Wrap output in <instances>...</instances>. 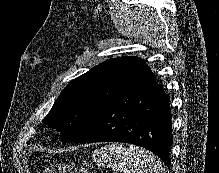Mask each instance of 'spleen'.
I'll return each instance as SVG.
<instances>
[{
    "instance_id": "1",
    "label": "spleen",
    "mask_w": 219,
    "mask_h": 173,
    "mask_svg": "<svg viewBox=\"0 0 219 173\" xmlns=\"http://www.w3.org/2000/svg\"><path fill=\"white\" fill-rule=\"evenodd\" d=\"M93 158L114 173H165L161 163L148 151L132 145L108 144L96 150Z\"/></svg>"
}]
</instances>
